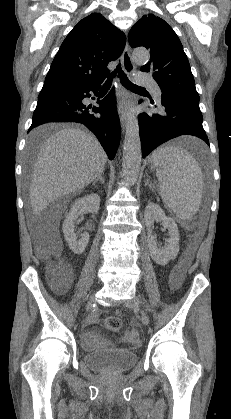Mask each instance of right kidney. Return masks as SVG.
I'll list each match as a JSON object with an SVG mask.
<instances>
[{
	"instance_id": "ca27d5eb",
	"label": "right kidney",
	"mask_w": 231,
	"mask_h": 419,
	"mask_svg": "<svg viewBox=\"0 0 231 419\" xmlns=\"http://www.w3.org/2000/svg\"><path fill=\"white\" fill-rule=\"evenodd\" d=\"M100 206V197L98 194H89L77 199L72 205L66 219L63 223L62 230L65 240L69 244L70 249L75 254H82L89 242V234L87 232L82 234L80 239L75 234V221L78 216L84 212L97 214Z\"/></svg>"
}]
</instances>
